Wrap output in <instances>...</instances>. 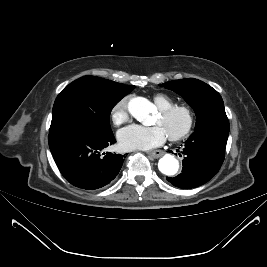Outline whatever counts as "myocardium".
Instances as JSON below:
<instances>
[{"label": "myocardium", "mask_w": 267, "mask_h": 267, "mask_svg": "<svg viewBox=\"0 0 267 267\" xmlns=\"http://www.w3.org/2000/svg\"><path fill=\"white\" fill-rule=\"evenodd\" d=\"M176 113H181L184 115L185 125L180 132L168 135L169 140L174 141V142L183 140L186 137H188L190 135V133L192 132V130L194 128V124H195L194 113H193L192 109L188 106L172 105L168 108L160 110V115L163 118H169Z\"/></svg>", "instance_id": "1"}]
</instances>
